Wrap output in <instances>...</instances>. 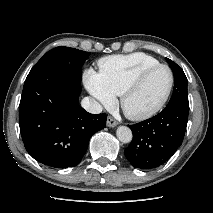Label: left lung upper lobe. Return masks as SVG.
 <instances>
[{"mask_svg": "<svg viewBox=\"0 0 213 213\" xmlns=\"http://www.w3.org/2000/svg\"><path fill=\"white\" fill-rule=\"evenodd\" d=\"M174 74V89L170 102H180L189 105L187 93V78L183 70L172 60L166 58Z\"/></svg>", "mask_w": 213, "mask_h": 213, "instance_id": "left-lung-upper-lobe-1", "label": "left lung upper lobe"}]
</instances>
